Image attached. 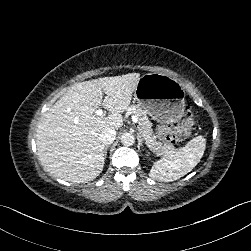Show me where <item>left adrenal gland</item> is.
Masks as SVG:
<instances>
[{
  "label": "left adrenal gland",
  "mask_w": 251,
  "mask_h": 251,
  "mask_svg": "<svg viewBox=\"0 0 251 251\" xmlns=\"http://www.w3.org/2000/svg\"><path fill=\"white\" fill-rule=\"evenodd\" d=\"M137 141H138V147H140L142 145V135H141V133L137 134Z\"/></svg>",
  "instance_id": "obj_1"
}]
</instances>
